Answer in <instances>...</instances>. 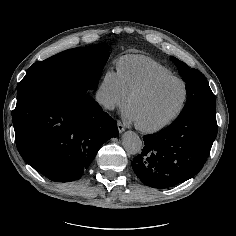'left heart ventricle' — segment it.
Instances as JSON below:
<instances>
[{
    "label": "left heart ventricle",
    "instance_id": "left-heart-ventricle-1",
    "mask_svg": "<svg viewBox=\"0 0 236 236\" xmlns=\"http://www.w3.org/2000/svg\"><path fill=\"white\" fill-rule=\"evenodd\" d=\"M184 87L179 81H167L133 102L130 110L134 121L144 126L158 124L179 108Z\"/></svg>",
    "mask_w": 236,
    "mask_h": 236
}]
</instances>
